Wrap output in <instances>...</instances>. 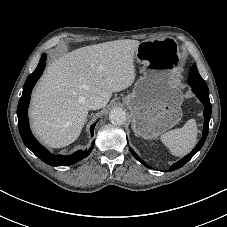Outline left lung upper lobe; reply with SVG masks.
Here are the masks:
<instances>
[{
    "instance_id": "1",
    "label": "left lung upper lobe",
    "mask_w": 227,
    "mask_h": 227,
    "mask_svg": "<svg viewBox=\"0 0 227 227\" xmlns=\"http://www.w3.org/2000/svg\"><path fill=\"white\" fill-rule=\"evenodd\" d=\"M193 83L198 85L202 89H205V90L208 89L205 81L201 78L197 70V67L195 65H193L189 74V85H192Z\"/></svg>"
}]
</instances>
